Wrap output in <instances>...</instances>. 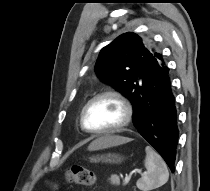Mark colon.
<instances>
[{
	"label": "colon",
	"instance_id": "5ec220e1",
	"mask_svg": "<svg viewBox=\"0 0 210 191\" xmlns=\"http://www.w3.org/2000/svg\"><path fill=\"white\" fill-rule=\"evenodd\" d=\"M66 181L69 183H75L80 185H93L95 182L94 172L84 166L73 165L71 166L65 174ZM51 186H55L51 184Z\"/></svg>",
	"mask_w": 210,
	"mask_h": 191
}]
</instances>
